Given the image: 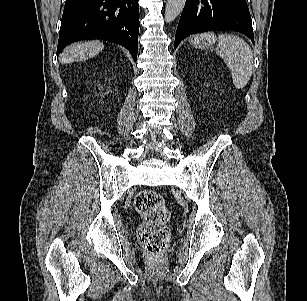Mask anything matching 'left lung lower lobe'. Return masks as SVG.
Masks as SVG:
<instances>
[{"label": "left lung lower lobe", "mask_w": 307, "mask_h": 301, "mask_svg": "<svg viewBox=\"0 0 307 301\" xmlns=\"http://www.w3.org/2000/svg\"><path fill=\"white\" fill-rule=\"evenodd\" d=\"M212 30H233L254 43L246 0H186L175 37V48L187 36Z\"/></svg>", "instance_id": "0a47b994"}]
</instances>
